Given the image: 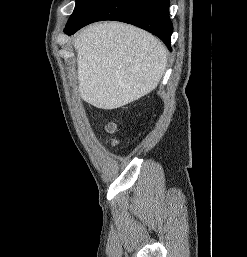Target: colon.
I'll use <instances>...</instances> for the list:
<instances>
[{"mask_svg": "<svg viewBox=\"0 0 247 257\" xmlns=\"http://www.w3.org/2000/svg\"><path fill=\"white\" fill-rule=\"evenodd\" d=\"M105 130L110 133V134H113L115 131H116V125L114 123H107L105 125ZM112 144H115V139H112L111 140Z\"/></svg>", "mask_w": 247, "mask_h": 257, "instance_id": "5ec220e1", "label": "colon"}]
</instances>
